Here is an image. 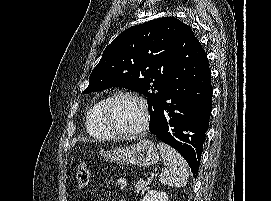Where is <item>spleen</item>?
I'll list each match as a JSON object with an SVG mask.
<instances>
[{"instance_id":"3e777b00","label":"spleen","mask_w":271,"mask_h":201,"mask_svg":"<svg viewBox=\"0 0 271 201\" xmlns=\"http://www.w3.org/2000/svg\"><path fill=\"white\" fill-rule=\"evenodd\" d=\"M157 147L166 169L160 174L159 181L171 187H184L187 184L189 173L184 158L169 145L159 142Z\"/></svg>"}]
</instances>
